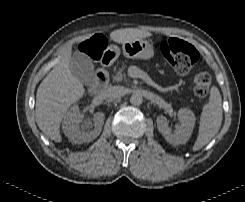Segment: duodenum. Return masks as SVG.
I'll list each match as a JSON object with an SVG mask.
<instances>
[{"mask_svg":"<svg viewBox=\"0 0 245 202\" xmlns=\"http://www.w3.org/2000/svg\"><path fill=\"white\" fill-rule=\"evenodd\" d=\"M110 64V58L105 57L100 63V68L96 73L94 82L89 86L92 93L100 92L104 89L109 82L108 66Z\"/></svg>","mask_w":245,"mask_h":202,"instance_id":"1","label":"duodenum"}]
</instances>
